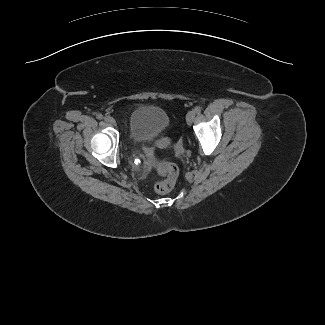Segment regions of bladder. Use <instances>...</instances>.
Segmentation results:
<instances>
[{"label": "bladder", "instance_id": "1", "mask_svg": "<svg viewBox=\"0 0 325 325\" xmlns=\"http://www.w3.org/2000/svg\"><path fill=\"white\" fill-rule=\"evenodd\" d=\"M170 126L171 119L162 108L139 106L129 118V139L134 144L147 142L168 131Z\"/></svg>", "mask_w": 325, "mask_h": 325}]
</instances>
